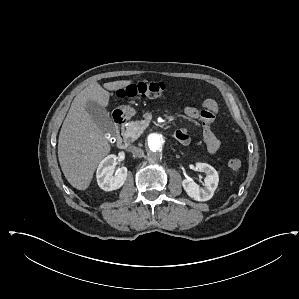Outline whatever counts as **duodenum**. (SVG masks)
Masks as SVG:
<instances>
[{
  "label": "duodenum",
  "instance_id": "obj_1",
  "mask_svg": "<svg viewBox=\"0 0 299 299\" xmlns=\"http://www.w3.org/2000/svg\"><path fill=\"white\" fill-rule=\"evenodd\" d=\"M113 123L116 132V146L119 149H125L127 147V141L123 136V129L126 123V114L123 111L116 110L112 114Z\"/></svg>",
  "mask_w": 299,
  "mask_h": 299
}]
</instances>
